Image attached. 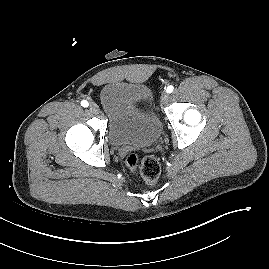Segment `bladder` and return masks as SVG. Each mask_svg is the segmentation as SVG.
I'll use <instances>...</instances> for the list:
<instances>
[{
	"label": "bladder",
	"mask_w": 269,
	"mask_h": 269,
	"mask_svg": "<svg viewBox=\"0 0 269 269\" xmlns=\"http://www.w3.org/2000/svg\"><path fill=\"white\" fill-rule=\"evenodd\" d=\"M100 101L109 124L110 142L117 147H149L162 134L151 90L142 84L111 82L100 91Z\"/></svg>",
	"instance_id": "1"
}]
</instances>
